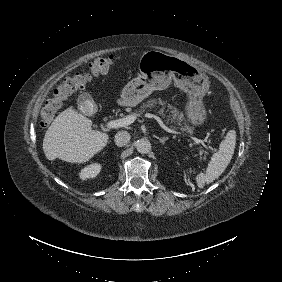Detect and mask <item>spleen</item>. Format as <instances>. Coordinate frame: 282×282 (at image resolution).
Listing matches in <instances>:
<instances>
[{"label": "spleen", "mask_w": 282, "mask_h": 282, "mask_svg": "<svg viewBox=\"0 0 282 282\" xmlns=\"http://www.w3.org/2000/svg\"><path fill=\"white\" fill-rule=\"evenodd\" d=\"M236 143V132L230 130L225 138L219 143V150L210 158L206 174L201 173L197 176V184L203 187L206 182H212L218 178L226 169L234 153Z\"/></svg>", "instance_id": "obj_1"}]
</instances>
